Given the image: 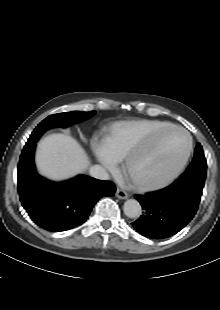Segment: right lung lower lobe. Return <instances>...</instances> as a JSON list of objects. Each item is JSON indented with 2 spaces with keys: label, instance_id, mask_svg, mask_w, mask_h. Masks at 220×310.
<instances>
[{
  "label": "right lung lower lobe",
  "instance_id": "right-lung-lower-lobe-1",
  "mask_svg": "<svg viewBox=\"0 0 220 310\" xmlns=\"http://www.w3.org/2000/svg\"><path fill=\"white\" fill-rule=\"evenodd\" d=\"M36 142L28 140L18 164L22 206L38 226L48 231H66L81 225L100 198L114 195L115 186L85 175L60 183L39 176L34 165Z\"/></svg>",
  "mask_w": 220,
  "mask_h": 310
}]
</instances>
